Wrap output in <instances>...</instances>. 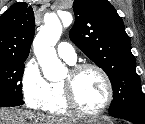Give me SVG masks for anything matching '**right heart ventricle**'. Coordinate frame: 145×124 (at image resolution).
I'll return each instance as SVG.
<instances>
[{"mask_svg": "<svg viewBox=\"0 0 145 124\" xmlns=\"http://www.w3.org/2000/svg\"><path fill=\"white\" fill-rule=\"evenodd\" d=\"M39 109L53 116H67L71 113L61 82H48V98Z\"/></svg>", "mask_w": 145, "mask_h": 124, "instance_id": "obj_1", "label": "right heart ventricle"}]
</instances>
